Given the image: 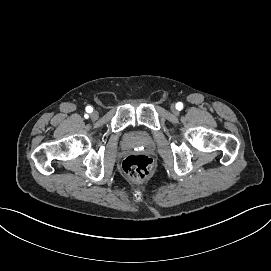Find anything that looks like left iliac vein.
Returning <instances> with one entry per match:
<instances>
[{"mask_svg": "<svg viewBox=\"0 0 271 271\" xmlns=\"http://www.w3.org/2000/svg\"><path fill=\"white\" fill-rule=\"evenodd\" d=\"M171 111H172V113H174V114H177V113H178V109L176 108L175 105H172V106H171Z\"/></svg>", "mask_w": 271, "mask_h": 271, "instance_id": "obj_1", "label": "left iliac vein"}]
</instances>
